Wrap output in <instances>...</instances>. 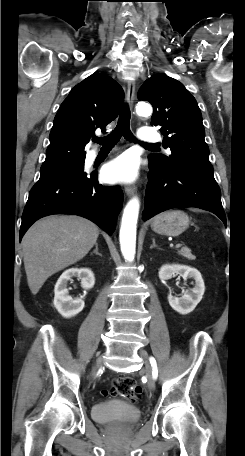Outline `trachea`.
<instances>
[{
    "mask_svg": "<svg viewBox=\"0 0 245 456\" xmlns=\"http://www.w3.org/2000/svg\"><path fill=\"white\" fill-rule=\"evenodd\" d=\"M130 110L125 105L120 113L116 128L107 136L103 138L95 137L93 141L102 145L103 147L114 146L123 136L126 140L133 142L135 137L130 130ZM146 146H154V144H144Z\"/></svg>",
    "mask_w": 245,
    "mask_h": 456,
    "instance_id": "3493384b",
    "label": "trachea"
}]
</instances>
